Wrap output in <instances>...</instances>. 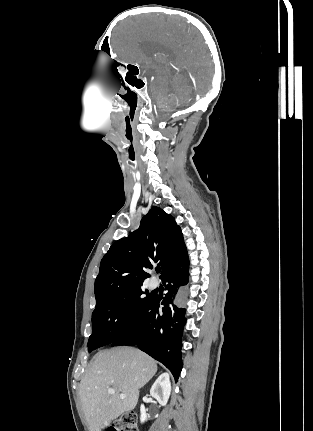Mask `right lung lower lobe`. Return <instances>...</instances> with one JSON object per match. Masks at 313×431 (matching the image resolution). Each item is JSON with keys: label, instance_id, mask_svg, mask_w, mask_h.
<instances>
[{"label": "right lung lower lobe", "instance_id": "obj_1", "mask_svg": "<svg viewBox=\"0 0 313 431\" xmlns=\"http://www.w3.org/2000/svg\"><path fill=\"white\" fill-rule=\"evenodd\" d=\"M189 258L186 247L161 278L166 285L162 301L153 297L137 321L111 346H138L163 363L177 381L182 369L181 338L186 323L185 309L178 303L181 287L188 283ZM160 304L164 305L159 313Z\"/></svg>", "mask_w": 313, "mask_h": 431}]
</instances>
